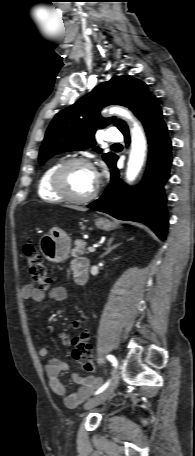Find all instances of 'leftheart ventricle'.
Masks as SVG:
<instances>
[{
  "mask_svg": "<svg viewBox=\"0 0 195 456\" xmlns=\"http://www.w3.org/2000/svg\"><path fill=\"white\" fill-rule=\"evenodd\" d=\"M97 182L95 171L85 165L71 166L65 174L68 191L75 196H86L94 189Z\"/></svg>",
  "mask_w": 195,
  "mask_h": 456,
  "instance_id": "1",
  "label": "left heart ventricle"
}]
</instances>
